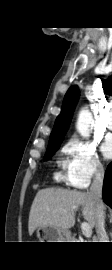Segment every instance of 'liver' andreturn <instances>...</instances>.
Returning <instances> with one entry per match:
<instances>
[{"instance_id":"6515ba94","label":"liver","mask_w":112,"mask_h":270,"mask_svg":"<svg viewBox=\"0 0 112 270\" xmlns=\"http://www.w3.org/2000/svg\"><path fill=\"white\" fill-rule=\"evenodd\" d=\"M82 207V216L91 227L96 222V204L89 192L46 188L37 192L32 203L28 230L32 235L38 227L68 230L75 224V215Z\"/></svg>"}]
</instances>
